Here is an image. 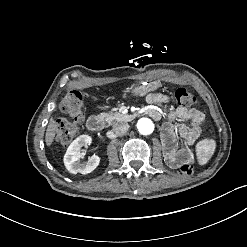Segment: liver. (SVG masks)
Instances as JSON below:
<instances>
[{
	"mask_svg": "<svg viewBox=\"0 0 247 247\" xmlns=\"http://www.w3.org/2000/svg\"><path fill=\"white\" fill-rule=\"evenodd\" d=\"M56 129H57L56 121L54 120V117L51 116L45 132V144L47 147L52 146L56 136Z\"/></svg>",
	"mask_w": 247,
	"mask_h": 247,
	"instance_id": "1",
	"label": "liver"
}]
</instances>
